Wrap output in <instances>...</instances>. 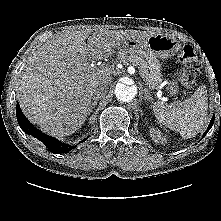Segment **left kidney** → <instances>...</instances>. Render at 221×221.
I'll return each mask as SVG.
<instances>
[{
  "mask_svg": "<svg viewBox=\"0 0 221 221\" xmlns=\"http://www.w3.org/2000/svg\"><path fill=\"white\" fill-rule=\"evenodd\" d=\"M150 133H151V138L154 142L156 143L160 142L162 144L166 143V138L161 135L160 131L152 129Z\"/></svg>",
  "mask_w": 221,
  "mask_h": 221,
  "instance_id": "left-kidney-1",
  "label": "left kidney"
}]
</instances>
